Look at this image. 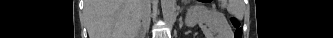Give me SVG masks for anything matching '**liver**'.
<instances>
[{"instance_id": "1", "label": "liver", "mask_w": 333, "mask_h": 38, "mask_svg": "<svg viewBox=\"0 0 333 38\" xmlns=\"http://www.w3.org/2000/svg\"><path fill=\"white\" fill-rule=\"evenodd\" d=\"M143 0H86L89 38H135Z\"/></svg>"}]
</instances>
